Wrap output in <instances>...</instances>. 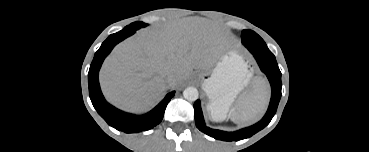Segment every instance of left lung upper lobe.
I'll return each instance as SVG.
<instances>
[{
    "mask_svg": "<svg viewBox=\"0 0 369 152\" xmlns=\"http://www.w3.org/2000/svg\"><path fill=\"white\" fill-rule=\"evenodd\" d=\"M241 38L242 43L248 48L250 52L252 50H255L261 54L273 55L263 39L254 31L249 29L243 30Z\"/></svg>",
    "mask_w": 369,
    "mask_h": 152,
    "instance_id": "left-lung-upper-lobe-1",
    "label": "left lung upper lobe"
}]
</instances>
